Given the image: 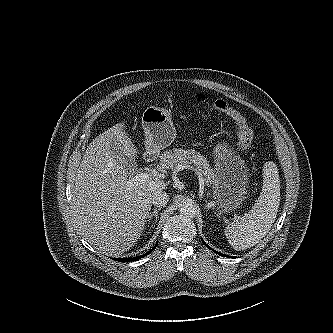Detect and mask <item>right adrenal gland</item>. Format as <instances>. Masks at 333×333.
Returning <instances> with one entry per match:
<instances>
[{"instance_id":"1","label":"right adrenal gland","mask_w":333,"mask_h":333,"mask_svg":"<svg viewBox=\"0 0 333 333\" xmlns=\"http://www.w3.org/2000/svg\"><path fill=\"white\" fill-rule=\"evenodd\" d=\"M161 210V207L159 208H156V209H153L152 212H149L148 215H147V219L151 220L152 217H155L156 218V221H157V217H158V212Z\"/></svg>"}]
</instances>
